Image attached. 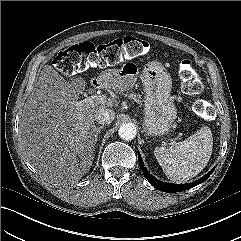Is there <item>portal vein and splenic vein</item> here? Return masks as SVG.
<instances>
[{
	"instance_id": "18ae733b",
	"label": "portal vein and splenic vein",
	"mask_w": 241,
	"mask_h": 241,
	"mask_svg": "<svg viewBox=\"0 0 241 241\" xmlns=\"http://www.w3.org/2000/svg\"><path fill=\"white\" fill-rule=\"evenodd\" d=\"M83 101L84 102H90V103L96 102V103H99V104H104V103L107 102V97L104 94H102V95H92V96H89V97L85 98ZM80 103H78V104H80Z\"/></svg>"
}]
</instances>
